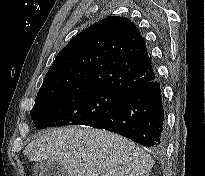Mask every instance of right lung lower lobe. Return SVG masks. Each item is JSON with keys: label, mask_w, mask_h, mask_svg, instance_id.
Masks as SVG:
<instances>
[{"label": "right lung lower lobe", "mask_w": 205, "mask_h": 176, "mask_svg": "<svg viewBox=\"0 0 205 176\" xmlns=\"http://www.w3.org/2000/svg\"><path fill=\"white\" fill-rule=\"evenodd\" d=\"M90 126L115 132L155 152L163 151L166 145L164 109L156 78L131 89Z\"/></svg>", "instance_id": "obj_1"}]
</instances>
